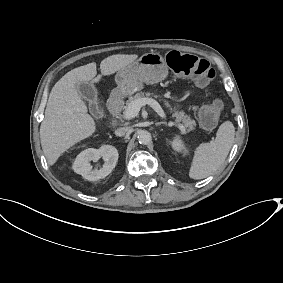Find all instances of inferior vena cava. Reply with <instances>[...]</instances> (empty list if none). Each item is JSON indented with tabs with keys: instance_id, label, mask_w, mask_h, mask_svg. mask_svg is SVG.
<instances>
[{
	"instance_id": "602c4592",
	"label": "inferior vena cava",
	"mask_w": 283,
	"mask_h": 283,
	"mask_svg": "<svg viewBox=\"0 0 283 283\" xmlns=\"http://www.w3.org/2000/svg\"><path fill=\"white\" fill-rule=\"evenodd\" d=\"M128 131V127H122L115 130V135L124 136Z\"/></svg>"
}]
</instances>
